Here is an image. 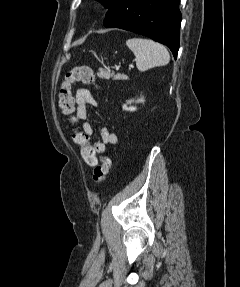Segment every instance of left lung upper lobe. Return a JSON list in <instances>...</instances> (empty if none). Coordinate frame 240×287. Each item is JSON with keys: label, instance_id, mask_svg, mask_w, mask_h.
Returning a JSON list of instances; mask_svg holds the SVG:
<instances>
[{"label": "left lung upper lobe", "instance_id": "5c2ea615", "mask_svg": "<svg viewBox=\"0 0 240 287\" xmlns=\"http://www.w3.org/2000/svg\"><path fill=\"white\" fill-rule=\"evenodd\" d=\"M97 1L102 2L105 5V7H108V5L112 0H97Z\"/></svg>", "mask_w": 240, "mask_h": 287}]
</instances>
